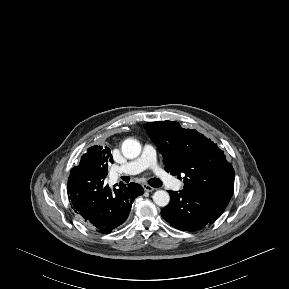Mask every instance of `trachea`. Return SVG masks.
I'll return each instance as SVG.
<instances>
[{"label": "trachea", "mask_w": 289, "mask_h": 289, "mask_svg": "<svg viewBox=\"0 0 289 289\" xmlns=\"http://www.w3.org/2000/svg\"><path fill=\"white\" fill-rule=\"evenodd\" d=\"M127 179L129 180V177H127ZM148 183L150 186L155 188L162 186V182L158 178H151Z\"/></svg>", "instance_id": "3493384b"}]
</instances>
